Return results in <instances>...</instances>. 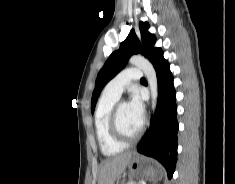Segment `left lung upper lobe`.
Segmentation results:
<instances>
[{
  "instance_id": "5c2ea615",
  "label": "left lung upper lobe",
  "mask_w": 235,
  "mask_h": 184,
  "mask_svg": "<svg viewBox=\"0 0 235 184\" xmlns=\"http://www.w3.org/2000/svg\"><path fill=\"white\" fill-rule=\"evenodd\" d=\"M141 42L138 39L134 30H131L128 37L120 44L117 51L113 52L105 62L97 76L95 89L92 94L91 111H94L97 99L103 87L126 65L128 59L137 53H141L149 61L153 57L157 48L153 47L155 43V36L150 34L147 30L149 24L147 22H140L139 25Z\"/></svg>"
}]
</instances>
